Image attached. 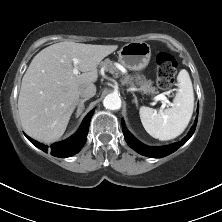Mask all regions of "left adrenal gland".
<instances>
[{
    "instance_id": "obj_1",
    "label": "left adrenal gland",
    "mask_w": 222,
    "mask_h": 222,
    "mask_svg": "<svg viewBox=\"0 0 222 222\" xmlns=\"http://www.w3.org/2000/svg\"><path fill=\"white\" fill-rule=\"evenodd\" d=\"M133 97H134V99H133V101H132V102H134V103L136 104V106H138V100H137L136 95H135V94H133Z\"/></svg>"
}]
</instances>
